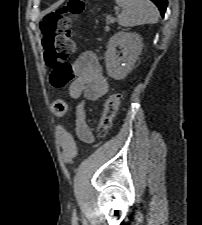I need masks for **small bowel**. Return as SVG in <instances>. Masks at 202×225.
<instances>
[{"instance_id": "obj_1", "label": "small bowel", "mask_w": 202, "mask_h": 225, "mask_svg": "<svg viewBox=\"0 0 202 225\" xmlns=\"http://www.w3.org/2000/svg\"><path fill=\"white\" fill-rule=\"evenodd\" d=\"M72 68L74 78L69 85V95L72 99L79 100L74 116V131L80 140L90 143L93 135L86 121L85 101L102 97L108 90V84L102 74L98 57L91 51L79 53L72 63ZM67 133L69 132L66 130L59 132L58 140L61 145L62 136Z\"/></svg>"}]
</instances>
